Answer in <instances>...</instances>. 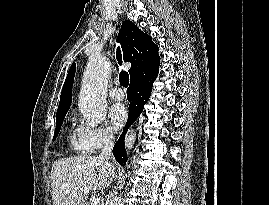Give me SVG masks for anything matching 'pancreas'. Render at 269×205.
<instances>
[{
  "instance_id": "1",
  "label": "pancreas",
  "mask_w": 269,
  "mask_h": 205,
  "mask_svg": "<svg viewBox=\"0 0 269 205\" xmlns=\"http://www.w3.org/2000/svg\"><path fill=\"white\" fill-rule=\"evenodd\" d=\"M86 205H93V197H91V198H87L86 200Z\"/></svg>"
}]
</instances>
